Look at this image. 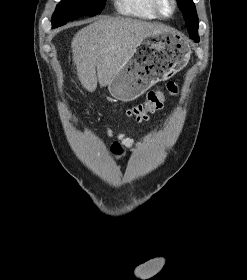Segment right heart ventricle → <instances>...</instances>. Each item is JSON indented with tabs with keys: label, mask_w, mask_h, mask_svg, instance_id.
Returning a JSON list of instances; mask_svg holds the SVG:
<instances>
[{
	"label": "right heart ventricle",
	"mask_w": 247,
	"mask_h": 280,
	"mask_svg": "<svg viewBox=\"0 0 247 280\" xmlns=\"http://www.w3.org/2000/svg\"><path fill=\"white\" fill-rule=\"evenodd\" d=\"M115 8L118 13L141 19H159L154 8V0H115Z\"/></svg>",
	"instance_id": "e07e8e85"
}]
</instances>
